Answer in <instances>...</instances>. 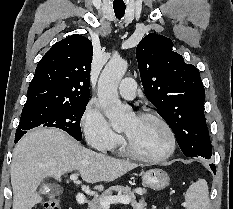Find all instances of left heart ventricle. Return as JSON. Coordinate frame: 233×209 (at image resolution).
<instances>
[{"mask_svg": "<svg viewBox=\"0 0 233 209\" xmlns=\"http://www.w3.org/2000/svg\"><path fill=\"white\" fill-rule=\"evenodd\" d=\"M123 133L128 136L136 151L145 156H158L168 147V136L163 126L152 118L132 116Z\"/></svg>", "mask_w": 233, "mask_h": 209, "instance_id": "obj_1", "label": "left heart ventricle"}]
</instances>
